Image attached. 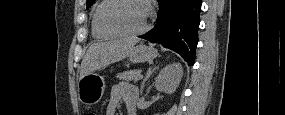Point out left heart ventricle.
Returning <instances> with one entry per match:
<instances>
[{"instance_id": "obj_1", "label": "left heart ventricle", "mask_w": 285, "mask_h": 115, "mask_svg": "<svg viewBox=\"0 0 285 115\" xmlns=\"http://www.w3.org/2000/svg\"><path fill=\"white\" fill-rule=\"evenodd\" d=\"M146 7L139 1H123L107 10V19L120 28L134 32L146 22Z\"/></svg>"}]
</instances>
